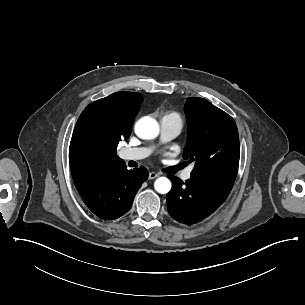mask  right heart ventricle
I'll return each instance as SVG.
<instances>
[{"instance_id":"obj_1","label":"right heart ventricle","mask_w":305,"mask_h":305,"mask_svg":"<svg viewBox=\"0 0 305 305\" xmlns=\"http://www.w3.org/2000/svg\"><path fill=\"white\" fill-rule=\"evenodd\" d=\"M165 116H172V117L179 118L178 114H176V113H169V114H166Z\"/></svg>"}]
</instances>
